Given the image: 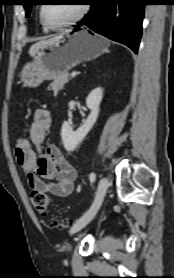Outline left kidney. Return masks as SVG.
I'll list each match as a JSON object with an SVG mask.
<instances>
[{
	"label": "left kidney",
	"instance_id": "1",
	"mask_svg": "<svg viewBox=\"0 0 174 278\" xmlns=\"http://www.w3.org/2000/svg\"><path fill=\"white\" fill-rule=\"evenodd\" d=\"M102 97L103 90L100 87L95 88L89 93L88 97L86 98V105L91 110V112L84 124L80 126L78 130L74 132L70 123L66 121L62 124L61 138L63 146L68 152L75 150L78 144L84 140L96 123L100 111L99 106Z\"/></svg>",
	"mask_w": 174,
	"mask_h": 278
}]
</instances>
